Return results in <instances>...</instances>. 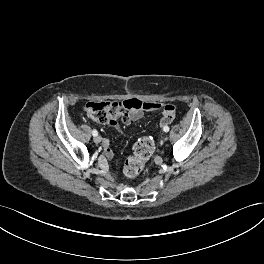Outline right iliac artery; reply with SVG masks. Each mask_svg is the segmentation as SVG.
Listing matches in <instances>:
<instances>
[{
	"instance_id": "right-iliac-artery-1",
	"label": "right iliac artery",
	"mask_w": 264,
	"mask_h": 264,
	"mask_svg": "<svg viewBox=\"0 0 264 264\" xmlns=\"http://www.w3.org/2000/svg\"><path fill=\"white\" fill-rule=\"evenodd\" d=\"M92 134H93V136H97V135H98L97 130L94 129V130L92 131Z\"/></svg>"
}]
</instances>
